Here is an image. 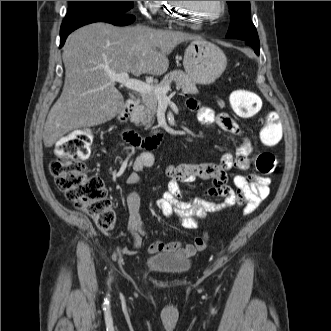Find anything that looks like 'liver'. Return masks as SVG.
<instances>
[{
  "label": "liver",
  "mask_w": 331,
  "mask_h": 331,
  "mask_svg": "<svg viewBox=\"0 0 331 331\" xmlns=\"http://www.w3.org/2000/svg\"><path fill=\"white\" fill-rule=\"evenodd\" d=\"M198 36L146 26L116 27L93 23L74 31L63 48L65 82L51 108L43 133L52 147L68 132L105 123L118 115L124 98L109 75H162L167 55L180 43Z\"/></svg>",
  "instance_id": "liver-1"
}]
</instances>
